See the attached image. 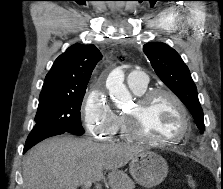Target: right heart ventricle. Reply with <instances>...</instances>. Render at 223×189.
<instances>
[{"label": "right heart ventricle", "instance_id": "obj_1", "mask_svg": "<svg viewBox=\"0 0 223 189\" xmlns=\"http://www.w3.org/2000/svg\"><path fill=\"white\" fill-rule=\"evenodd\" d=\"M133 92L137 95H141L144 92H146V87L140 90H133ZM118 121H117V128L115 133H120L121 137L124 139H129V136L126 131V124H125V116L124 115H119L117 116Z\"/></svg>", "mask_w": 223, "mask_h": 189}]
</instances>
